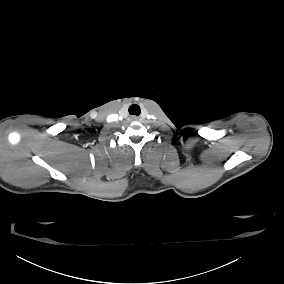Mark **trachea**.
Masks as SVG:
<instances>
[{"mask_svg":"<svg viewBox=\"0 0 284 284\" xmlns=\"http://www.w3.org/2000/svg\"><path fill=\"white\" fill-rule=\"evenodd\" d=\"M130 115H136V116H139L140 113H141V109H140V106L137 105V104H133L129 107L128 109Z\"/></svg>","mask_w":284,"mask_h":284,"instance_id":"trachea-1","label":"trachea"}]
</instances>
